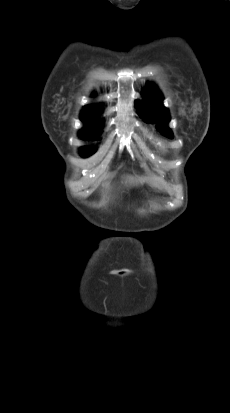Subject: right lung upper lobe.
<instances>
[{
	"instance_id": "obj_1",
	"label": "right lung upper lobe",
	"mask_w": 230,
	"mask_h": 413,
	"mask_svg": "<svg viewBox=\"0 0 230 413\" xmlns=\"http://www.w3.org/2000/svg\"><path fill=\"white\" fill-rule=\"evenodd\" d=\"M98 108H96L93 105H88L85 106L81 112V119L83 122L86 123L87 127L86 128H91L95 126V124H99L96 122L97 116H98ZM84 128V129H86Z\"/></svg>"
}]
</instances>
